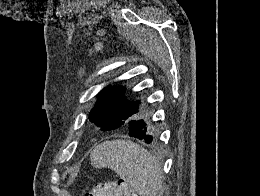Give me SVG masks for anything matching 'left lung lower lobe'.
I'll return each instance as SVG.
<instances>
[{
  "instance_id": "obj_1",
  "label": "left lung lower lobe",
  "mask_w": 260,
  "mask_h": 196,
  "mask_svg": "<svg viewBox=\"0 0 260 196\" xmlns=\"http://www.w3.org/2000/svg\"><path fill=\"white\" fill-rule=\"evenodd\" d=\"M133 114V110L127 107H112L105 112L101 117V122L120 124L127 120ZM129 135L139 138L146 143L153 141V136L148 132V127L144 123L132 122L129 125Z\"/></svg>"
}]
</instances>
